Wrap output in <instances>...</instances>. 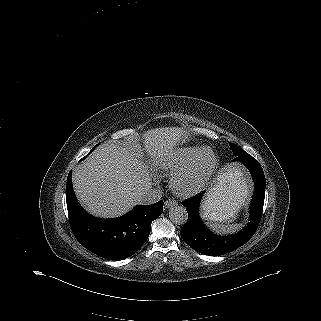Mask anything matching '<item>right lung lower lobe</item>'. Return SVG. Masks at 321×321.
<instances>
[{"instance_id":"1","label":"right lung lower lobe","mask_w":321,"mask_h":321,"mask_svg":"<svg viewBox=\"0 0 321 321\" xmlns=\"http://www.w3.org/2000/svg\"><path fill=\"white\" fill-rule=\"evenodd\" d=\"M70 171L66 185L67 209L72 231L89 251L109 260H122L136 253L146 242L151 222L163 212V202L138 205L114 219L88 214L78 203Z\"/></svg>"}]
</instances>
